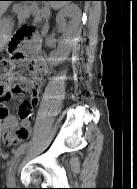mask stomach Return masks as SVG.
Masks as SVG:
<instances>
[{"mask_svg":"<svg viewBox=\"0 0 137 189\" xmlns=\"http://www.w3.org/2000/svg\"><path fill=\"white\" fill-rule=\"evenodd\" d=\"M47 13V12H46ZM12 29V22L8 18L0 19V41L4 42V37L8 38Z\"/></svg>","mask_w":137,"mask_h":189,"instance_id":"0dacf381","label":"stomach"}]
</instances>
